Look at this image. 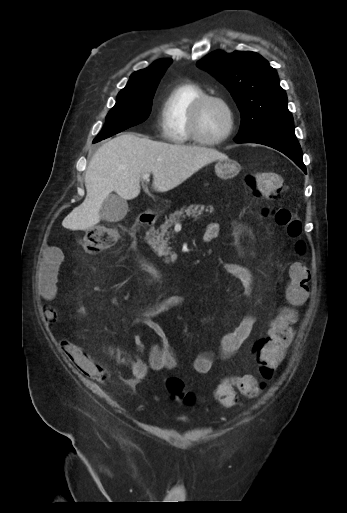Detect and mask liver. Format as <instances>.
Listing matches in <instances>:
<instances>
[{
  "label": "liver",
  "instance_id": "obj_1",
  "mask_svg": "<svg viewBox=\"0 0 347 513\" xmlns=\"http://www.w3.org/2000/svg\"><path fill=\"white\" fill-rule=\"evenodd\" d=\"M228 156L214 148L167 144L134 133H124L103 144L91 159L85 174L87 195L62 221L69 230H86L100 222V209L111 192L124 200L140 193L144 174L152 173V187L169 191L198 170Z\"/></svg>",
  "mask_w": 347,
  "mask_h": 513
}]
</instances>
